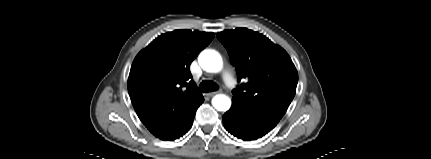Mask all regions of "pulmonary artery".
Returning a JSON list of instances; mask_svg holds the SVG:
<instances>
[{
	"label": "pulmonary artery",
	"mask_w": 431,
	"mask_h": 159,
	"mask_svg": "<svg viewBox=\"0 0 431 159\" xmlns=\"http://www.w3.org/2000/svg\"><path fill=\"white\" fill-rule=\"evenodd\" d=\"M222 78H223V81L225 82V84L229 88H234L236 86V80H235L234 75L231 72V70H229V69L224 70L222 73Z\"/></svg>",
	"instance_id": "pulmonary-artery-1"
}]
</instances>
